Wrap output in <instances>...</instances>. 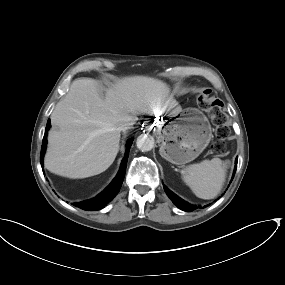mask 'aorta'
<instances>
[{"instance_id":"obj_1","label":"aorta","mask_w":285,"mask_h":285,"mask_svg":"<svg viewBox=\"0 0 285 285\" xmlns=\"http://www.w3.org/2000/svg\"><path fill=\"white\" fill-rule=\"evenodd\" d=\"M136 145L137 148L142 152H147L152 150L154 146V139L150 135L141 134L136 140Z\"/></svg>"}]
</instances>
